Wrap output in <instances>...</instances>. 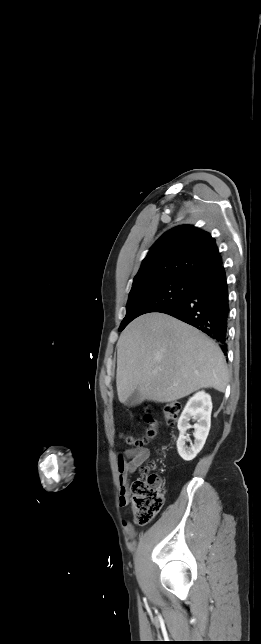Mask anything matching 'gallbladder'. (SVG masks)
I'll use <instances>...</instances> for the list:
<instances>
[{
	"label": "gallbladder",
	"instance_id": "1",
	"mask_svg": "<svg viewBox=\"0 0 261 644\" xmlns=\"http://www.w3.org/2000/svg\"><path fill=\"white\" fill-rule=\"evenodd\" d=\"M140 403V394L138 390H135L130 397L127 399L125 402V405L127 407H135Z\"/></svg>",
	"mask_w": 261,
	"mask_h": 644
}]
</instances>
